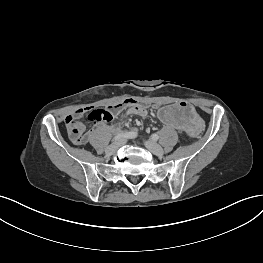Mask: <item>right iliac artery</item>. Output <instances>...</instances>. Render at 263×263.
Here are the masks:
<instances>
[{
    "instance_id": "right-iliac-artery-1",
    "label": "right iliac artery",
    "mask_w": 263,
    "mask_h": 263,
    "mask_svg": "<svg viewBox=\"0 0 263 263\" xmlns=\"http://www.w3.org/2000/svg\"><path fill=\"white\" fill-rule=\"evenodd\" d=\"M137 136V132L136 131H130V132H123V133H119L117 134L114 138L113 141H118L122 138H135Z\"/></svg>"
}]
</instances>
